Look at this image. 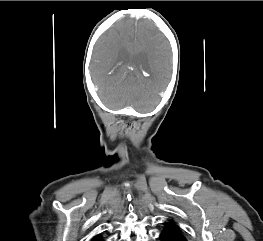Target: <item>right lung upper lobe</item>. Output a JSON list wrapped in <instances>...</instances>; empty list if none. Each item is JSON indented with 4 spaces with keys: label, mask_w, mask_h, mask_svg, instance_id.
I'll return each instance as SVG.
<instances>
[{
    "label": "right lung upper lobe",
    "mask_w": 263,
    "mask_h": 241,
    "mask_svg": "<svg viewBox=\"0 0 263 241\" xmlns=\"http://www.w3.org/2000/svg\"><path fill=\"white\" fill-rule=\"evenodd\" d=\"M97 239H100V236H99V235L95 236V237H94V240H92V241H97Z\"/></svg>",
    "instance_id": "cb5924a9"
}]
</instances>
